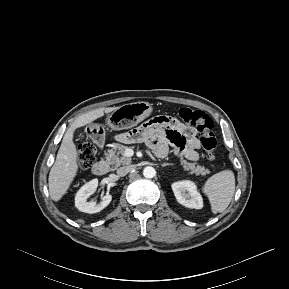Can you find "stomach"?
Wrapping results in <instances>:
<instances>
[{"label":"stomach","instance_id":"obj_1","mask_svg":"<svg viewBox=\"0 0 289 289\" xmlns=\"http://www.w3.org/2000/svg\"><path fill=\"white\" fill-rule=\"evenodd\" d=\"M152 110V105L144 101L125 104L108 115L106 122L114 130L130 129L149 117ZM90 126L95 129L102 127L99 124H92ZM92 135L95 137L94 133Z\"/></svg>","mask_w":289,"mask_h":289}]
</instances>
